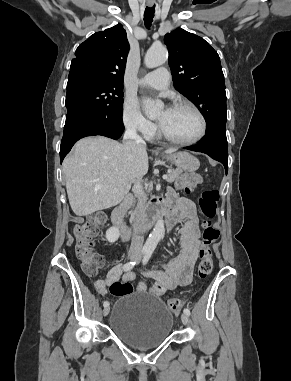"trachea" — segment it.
Returning a JSON list of instances; mask_svg holds the SVG:
<instances>
[{"mask_svg":"<svg viewBox=\"0 0 291 381\" xmlns=\"http://www.w3.org/2000/svg\"><path fill=\"white\" fill-rule=\"evenodd\" d=\"M155 13V5L152 7H146L145 12H144V22L147 28L151 26V23L153 21Z\"/></svg>","mask_w":291,"mask_h":381,"instance_id":"obj_1","label":"trachea"}]
</instances>
